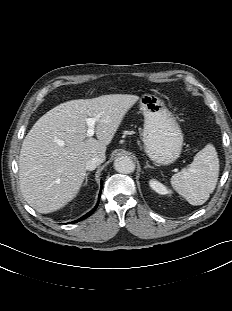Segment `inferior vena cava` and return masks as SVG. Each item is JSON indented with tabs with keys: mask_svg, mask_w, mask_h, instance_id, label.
Segmentation results:
<instances>
[{
	"mask_svg": "<svg viewBox=\"0 0 232 311\" xmlns=\"http://www.w3.org/2000/svg\"><path fill=\"white\" fill-rule=\"evenodd\" d=\"M104 159L102 157L99 156H95L90 158L89 160L86 161L85 163V169L92 171L94 170L98 165H100L101 163H103Z\"/></svg>",
	"mask_w": 232,
	"mask_h": 311,
	"instance_id": "602c4592",
	"label": "inferior vena cava"
}]
</instances>
